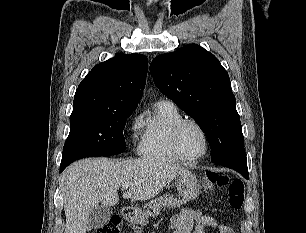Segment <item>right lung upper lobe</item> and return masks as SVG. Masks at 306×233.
Listing matches in <instances>:
<instances>
[{"label": "right lung upper lobe", "mask_w": 306, "mask_h": 233, "mask_svg": "<svg viewBox=\"0 0 306 233\" xmlns=\"http://www.w3.org/2000/svg\"><path fill=\"white\" fill-rule=\"evenodd\" d=\"M148 60L141 54H116L97 64L79 84L73 106L136 109L142 98Z\"/></svg>", "instance_id": "obj_1"}]
</instances>
